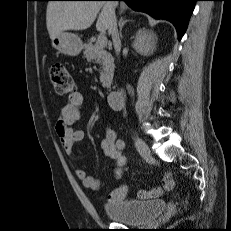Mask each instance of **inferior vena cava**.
<instances>
[{
  "label": "inferior vena cava",
  "mask_w": 231,
  "mask_h": 231,
  "mask_svg": "<svg viewBox=\"0 0 231 231\" xmlns=\"http://www.w3.org/2000/svg\"><path fill=\"white\" fill-rule=\"evenodd\" d=\"M113 4L117 5V2H113ZM110 32L112 35V40H113L115 52L118 54L120 51V38H119V34H118L117 20H116L115 14L113 15V18L111 21Z\"/></svg>",
  "instance_id": "602c4592"
}]
</instances>
